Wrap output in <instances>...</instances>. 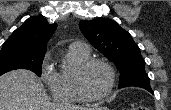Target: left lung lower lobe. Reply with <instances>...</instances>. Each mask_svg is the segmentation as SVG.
I'll use <instances>...</instances> for the list:
<instances>
[{"label":"left lung lower lobe","mask_w":171,"mask_h":110,"mask_svg":"<svg viewBox=\"0 0 171 110\" xmlns=\"http://www.w3.org/2000/svg\"><path fill=\"white\" fill-rule=\"evenodd\" d=\"M146 90L153 94V91H152L151 88H148V89H146Z\"/></svg>","instance_id":"obj_1"}]
</instances>
